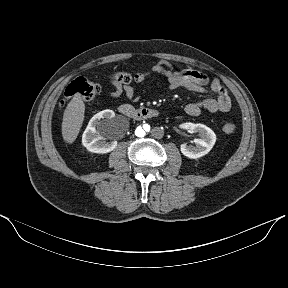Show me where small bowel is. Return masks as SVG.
Returning a JSON list of instances; mask_svg holds the SVG:
<instances>
[{"label":"small bowel","mask_w":288,"mask_h":288,"mask_svg":"<svg viewBox=\"0 0 288 288\" xmlns=\"http://www.w3.org/2000/svg\"><path fill=\"white\" fill-rule=\"evenodd\" d=\"M157 73L164 76L167 80L169 89L185 88L190 91L204 93L209 95L197 102H192L184 107V112L189 116H199L203 111L209 113L229 112L231 109V99L217 79H210L206 74L189 69L174 70L173 65L161 60L156 63L151 71H145L144 75ZM114 89L107 93V96L113 100L125 98L130 101H138L139 94L130 85H122L114 82Z\"/></svg>","instance_id":"small-bowel-1"}]
</instances>
